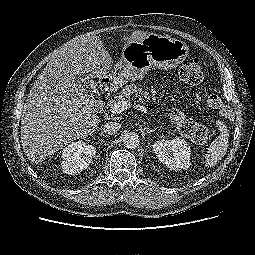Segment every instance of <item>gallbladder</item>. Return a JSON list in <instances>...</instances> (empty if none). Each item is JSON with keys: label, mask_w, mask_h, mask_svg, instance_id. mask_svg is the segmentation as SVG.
I'll return each mask as SVG.
<instances>
[{"label": "gallbladder", "mask_w": 255, "mask_h": 255, "mask_svg": "<svg viewBox=\"0 0 255 255\" xmlns=\"http://www.w3.org/2000/svg\"><path fill=\"white\" fill-rule=\"evenodd\" d=\"M76 87L86 97H91L92 99L97 97L98 92L95 82L92 78L82 73L76 76Z\"/></svg>", "instance_id": "gallbladder-1"}]
</instances>
